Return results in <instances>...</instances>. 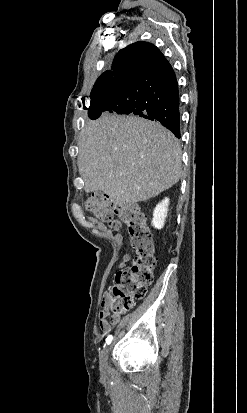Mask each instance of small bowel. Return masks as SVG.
Wrapping results in <instances>:
<instances>
[{"instance_id": "1", "label": "small bowel", "mask_w": 247, "mask_h": 413, "mask_svg": "<svg viewBox=\"0 0 247 413\" xmlns=\"http://www.w3.org/2000/svg\"><path fill=\"white\" fill-rule=\"evenodd\" d=\"M128 261H129V256L125 255L123 257V260L120 262L119 267L120 268L124 267ZM109 302H110V296L108 292H106L102 299V306L104 307V309L100 311L99 313V322H98V326L102 334L109 333L112 327L118 325L121 320L119 315L109 314V312L106 309Z\"/></svg>"}]
</instances>
